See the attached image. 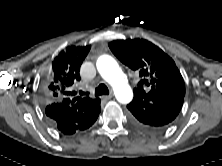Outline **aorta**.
Segmentation results:
<instances>
[{
    "instance_id": "aorta-1",
    "label": "aorta",
    "mask_w": 222,
    "mask_h": 166,
    "mask_svg": "<svg viewBox=\"0 0 222 166\" xmlns=\"http://www.w3.org/2000/svg\"><path fill=\"white\" fill-rule=\"evenodd\" d=\"M96 66L103 79L112 86L117 101L129 103L133 98V91L116 60L109 55H102Z\"/></svg>"
}]
</instances>
